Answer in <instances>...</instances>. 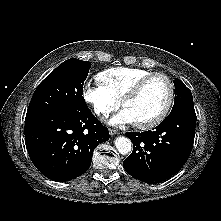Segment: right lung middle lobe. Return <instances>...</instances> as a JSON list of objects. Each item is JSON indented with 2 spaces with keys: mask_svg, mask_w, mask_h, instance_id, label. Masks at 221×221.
I'll use <instances>...</instances> for the list:
<instances>
[{
  "mask_svg": "<svg viewBox=\"0 0 221 221\" xmlns=\"http://www.w3.org/2000/svg\"><path fill=\"white\" fill-rule=\"evenodd\" d=\"M90 67V62L75 58L60 64L36 88L26 116L48 112L69 115L88 112L90 109L82 95Z\"/></svg>",
  "mask_w": 221,
  "mask_h": 221,
  "instance_id": "dd1d6c3e",
  "label": "right lung middle lobe"
}]
</instances>
